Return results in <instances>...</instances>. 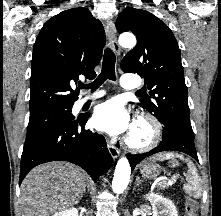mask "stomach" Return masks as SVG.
I'll return each instance as SVG.
<instances>
[{
    "instance_id": "stomach-1",
    "label": "stomach",
    "mask_w": 221,
    "mask_h": 216,
    "mask_svg": "<svg viewBox=\"0 0 221 216\" xmlns=\"http://www.w3.org/2000/svg\"><path fill=\"white\" fill-rule=\"evenodd\" d=\"M160 166L153 162L146 163L141 167V174L144 178L155 179L160 174Z\"/></svg>"
}]
</instances>
